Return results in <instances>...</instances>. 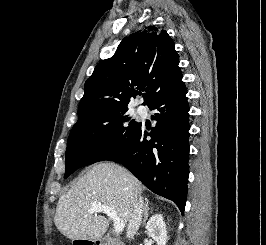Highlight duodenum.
<instances>
[{
	"label": "duodenum",
	"mask_w": 266,
	"mask_h": 245,
	"mask_svg": "<svg viewBox=\"0 0 266 245\" xmlns=\"http://www.w3.org/2000/svg\"><path fill=\"white\" fill-rule=\"evenodd\" d=\"M76 245H124L116 235L110 237H75Z\"/></svg>",
	"instance_id": "obj_1"
}]
</instances>
